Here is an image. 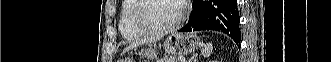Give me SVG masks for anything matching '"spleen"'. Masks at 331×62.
<instances>
[{
    "instance_id": "obj_1",
    "label": "spleen",
    "mask_w": 331,
    "mask_h": 62,
    "mask_svg": "<svg viewBox=\"0 0 331 62\" xmlns=\"http://www.w3.org/2000/svg\"><path fill=\"white\" fill-rule=\"evenodd\" d=\"M202 46H203V48L201 50V54L204 57H209L212 53V50H213L212 43H207L206 45H202Z\"/></svg>"
}]
</instances>
